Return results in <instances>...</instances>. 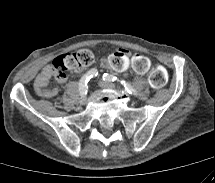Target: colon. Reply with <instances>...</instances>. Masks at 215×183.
<instances>
[{"mask_svg":"<svg viewBox=\"0 0 215 183\" xmlns=\"http://www.w3.org/2000/svg\"><path fill=\"white\" fill-rule=\"evenodd\" d=\"M93 61L94 55L88 49H81L77 52H68L59 55L51 62L48 75L55 78H62L65 77L67 71L80 70L88 67ZM148 81L150 85L155 88L164 86L167 82L166 70L162 67L153 69L148 75Z\"/></svg>","mask_w":215,"mask_h":183,"instance_id":"5ec220e1","label":"colon"}]
</instances>
